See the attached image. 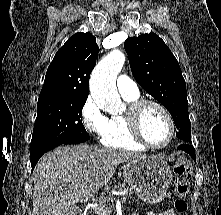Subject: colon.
Instances as JSON below:
<instances>
[{
	"mask_svg": "<svg viewBox=\"0 0 221 215\" xmlns=\"http://www.w3.org/2000/svg\"><path fill=\"white\" fill-rule=\"evenodd\" d=\"M191 180V163L187 158H183L174 168V191L176 196L174 207L180 213L187 211L188 205L186 199L190 191Z\"/></svg>",
	"mask_w": 221,
	"mask_h": 215,
	"instance_id": "colon-1",
	"label": "colon"
}]
</instances>
